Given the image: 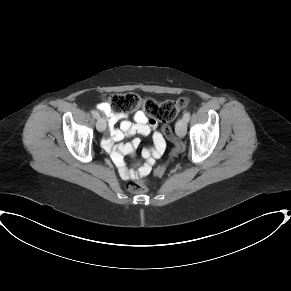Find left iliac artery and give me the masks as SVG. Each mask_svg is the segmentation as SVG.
Instances as JSON below:
<instances>
[{
	"instance_id": "1",
	"label": "left iliac artery",
	"mask_w": 291,
	"mask_h": 291,
	"mask_svg": "<svg viewBox=\"0 0 291 291\" xmlns=\"http://www.w3.org/2000/svg\"><path fill=\"white\" fill-rule=\"evenodd\" d=\"M184 120L186 121V122H188L189 121V119H190V112L189 111H186L185 113H184Z\"/></svg>"
}]
</instances>
